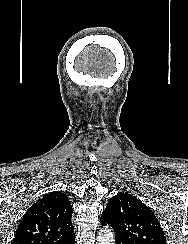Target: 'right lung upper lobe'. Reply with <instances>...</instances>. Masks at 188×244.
<instances>
[{
    "mask_svg": "<svg viewBox=\"0 0 188 244\" xmlns=\"http://www.w3.org/2000/svg\"><path fill=\"white\" fill-rule=\"evenodd\" d=\"M72 213L65 194H46L25 213L12 244H68L75 238Z\"/></svg>",
    "mask_w": 188,
    "mask_h": 244,
    "instance_id": "cb5924a9",
    "label": "right lung upper lobe"
}]
</instances>
